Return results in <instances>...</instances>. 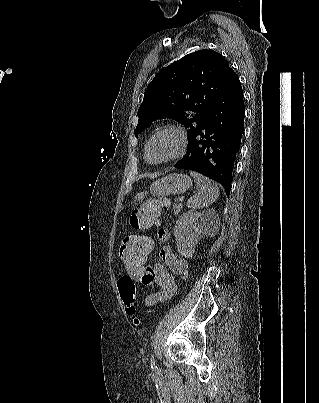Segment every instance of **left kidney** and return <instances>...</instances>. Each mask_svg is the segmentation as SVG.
Returning <instances> with one entry per match:
<instances>
[{"mask_svg": "<svg viewBox=\"0 0 319 403\" xmlns=\"http://www.w3.org/2000/svg\"><path fill=\"white\" fill-rule=\"evenodd\" d=\"M217 218L213 209L201 213L190 210L183 213L174 227V236L179 253L184 257H192L195 247L206 231V227Z\"/></svg>", "mask_w": 319, "mask_h": 403, "instance_id": "1", "label": "left kidney"}]
</instances>
